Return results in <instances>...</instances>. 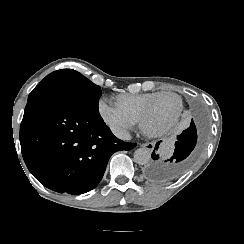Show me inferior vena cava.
I'll use <instances>...</instances> for the list:
<instances>
[{
	"instance_id": "inferior-vena-cava-1",
	"label": "inferior vena cava",
	"mask_w": 244,
	"mask_h": 244,
	"mask_svg": "<svg viewBox=\"0 0 244 244\" xmlns=\"http://www.w3.org/2000/svg\"><path fill=\"white\" fill-rule=\"evenodd\" d=\"M112 132L119 139H122V140H129L130 139V134L125 129H122V128H112Z\"/></svg>"
}]
</instances>
